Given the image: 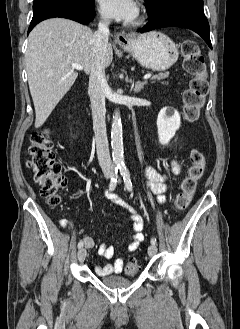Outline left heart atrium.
Returning <instances> with one entry per match:
<instances>
[{"label":"left heart atrium","instance_id":"obj_1","mask_svg":"<svg viewBox=\"0 0 240 329\" xmlns=\"http://www.w3.org/2000/svg\"><path fill=\"white\" fill-rule=\"evenodd\" d=\"M99 5L104 16L117 21L130 22L138 15L135 0H99Z\"/></svg>","mask_w":240,"mask_h":329}]
</instances>
